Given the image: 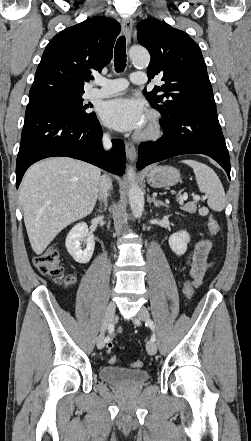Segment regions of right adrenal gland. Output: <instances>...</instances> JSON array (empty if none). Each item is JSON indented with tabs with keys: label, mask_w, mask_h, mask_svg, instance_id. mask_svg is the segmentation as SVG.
<instances>
[{
	"label": "right adrenal gland",
	"mask_w": 251,
	"mask_h": 441,
	"mask_svg": "<svg viewBox=\"0 0 251 441\" xmlns=\"http://www.w3.org/2000/svg\"><path fill=\"white\" fill-rule=\"evenodd\" d=\"M106 209H107V202H105V204H104V208H103V209H102V208H99V209H97V211L100 212V213H102V212H104Z\"/></svg>",
	"instance_id": "obj_1"
}]
</instances>
